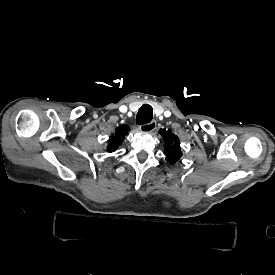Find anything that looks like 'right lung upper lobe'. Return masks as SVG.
I'll return each mask as SVG.
<instances>
[{"label":"right lung upper lobe","mask_w":275,"mask_h":275,"mask_svg":"<svg viewBox=\"0 0 275 275\" xmlns=\"http://www.w3.org/2000/svg\"><path fill=\"white\" fill-rule=\"evenodd\" d=\"M129 127L126 125H121L116 128V132L113 136L110 137L108 143V151L114 152L120 146L121 142L123 141L124 137L128 134Z\"/></svg>","instance_id":"1"}]
</instances>
